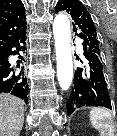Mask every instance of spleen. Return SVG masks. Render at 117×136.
<instances>
[{"instance_id": "3e777b00", "label": "spleen", "mask_w": 117, "mask_h": 136, "mask_svg": "<svg viewBox=\"0 0 117 136\" xmlns=\"http://www.w3.org/2000/svg\"><path fill=\"white\" fill-rule=\"evenodd\" d=\"M90 121L102 136H113L115 131L114 121L109 111L95 107L90 111Z\"/></svg>"}]
</instances>
